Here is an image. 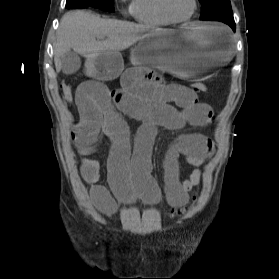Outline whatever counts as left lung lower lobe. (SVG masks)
<instances>
[{"instance_id": "1", "label": "left lung lower lobe", "mask_w": 279, "mask_h": 279, "mask_svg": "<svg viewBox=\"0 0 279 279\" xmlns=\"http://www.w3.org/2000/svg\"><path fill=\"white\" fill-rule=\"evenodd\" d=\"M221 22L228 24L232 28V30L235 32L236 26H235L234 18L223 19V20H221Z\"/></svg>"}]
</instances>
